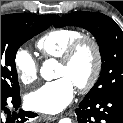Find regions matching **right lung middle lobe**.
<instances>
[{
  "label": "right lung middle lobe",
  "mask_w": 123,
  "mask_h": 123,
  "mask_svg": "<svg viewBox=\"0 0 123 123\" xmlns=\"http://www.w3.org/2000/svg\"><path fill=\"white\" fill-rule=\"evenodd\" d=\"M52 21L48 16L19 14L1 16V96L19 93L15 56L18 48L46 30Z\"/></svg>",
  "instance_id": "obj_1"
}]
</instances>
